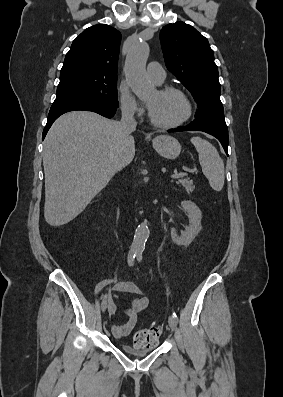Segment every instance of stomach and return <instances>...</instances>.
I'll use <instances>...</instances> for the list:
<instances>
[{
    "label": "stomach",
    "mask_w": 283,
    "mask_h": 397,
    "mask_svg": "<svg viewBox=\"0 0 283 397\" xmlns=\"http://www.w3.org/2000/svg\"><path fill=\"white\" fill-rule=\"evenodd\" d=\"M153 147L162 157L175 159L181 152L178 140L170 135H160L153 139Z\"/></svg>",
    "instance_id": "stomach-1"
}]
</instances>
